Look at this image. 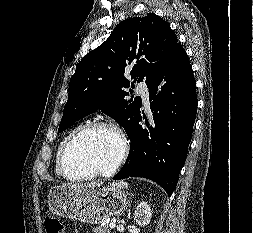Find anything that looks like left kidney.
I'll return each instance as SVG.
<instances>
[{"instance_id":"obj_1","label":"left kidney","mask_w":253,"mask_h":233,"mask_svg":"<svg viewBox=\"0 0 253 233\" xmlns=\"http://www.w3.org/2000/svg\"><path fill=\"white\" fill-rule=\"evenodd\" d=\"M152 216V211L147 202H141L135 212H134V220L140 226H145L150 223Z\"/></svg>"}]
</instances>
